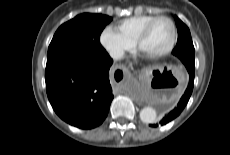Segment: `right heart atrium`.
Segmentation results:
<instances>
[{
  "label": "right heart atrium",
  "mask_w": 230,
  "mask_h": 155,
  "mask_svg": "<svg viewBox=\"0 0 230 155\" xmlns=\"http://www.w3.org/2000/svg\"><path fill=\"white\" fill-rule=\"evenodd\" d=\"M103 49L114 59H121L133 48V43L124 38L115 28L106 27L99 36Z\"/></svg>",
  "instance_id": "1"
}]
</instances>
